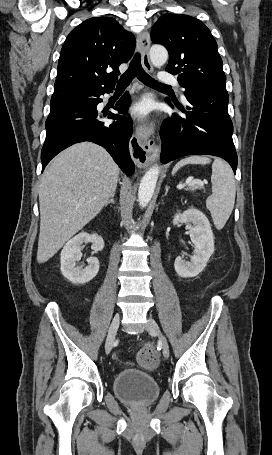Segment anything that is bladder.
I'll use <instances>...</instances> for the list:
<instances>
[{"mask_svg": "<svg viewBox=\"0 0 272 455\" xmlns=\"http://www.w3.org/2000/svg\"><path fill=\"white\" fill-rule=\"evenodd\" d=\"M113 391L123 403L140 407L152 404L159 396L160 387L152 375L127 369L115 376Z\"/></svg>", "mask_w": 272, "mask_h": 455, "instance_id": "obj_1", "label": "bladder"}]
</instances>
